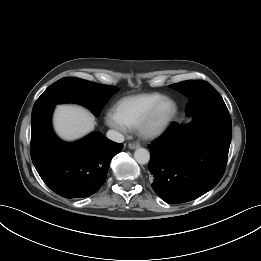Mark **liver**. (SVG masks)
Instances as JSON below:
<instances>
[{"instance_id": "1", "label": "liver", "mask_w": 261, "mask_h": 261, "mask_svg": "<svg viewBox=\"0 0 261 261\" xmlns=\"http://www.w3.org/2000/svg\"><path fill=\"white\" fill-rule=\"evenodd\" d=\"M53 123L56 133L67 141L79 139L94 129L93 115L76 105L57 106Z\"/></svg>"}]
</instances>
